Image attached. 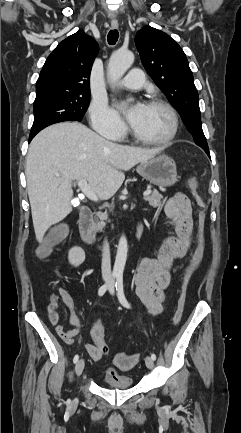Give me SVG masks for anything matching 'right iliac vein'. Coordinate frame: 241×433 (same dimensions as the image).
Masks as SVG:
<instances>
[{
  "mask_svg": "<svg viewBox=\"0 0 241 433\" xmlns=\"http://www.w3.org/2000/svg\"><path fill=\"white\" fill-rule=\"evenodd\" d=\"M84 365H85V363H84V360H83V359H80V360L76 363V366H75V372H76L77 376H80V375L82 374L83 369H84Z\"/></svg>",
  "mask_w": 241,
  "mask_h": 433,
  "instance_id": "obj_1",
  "label": "right iliac vein"
}]
</instances>
